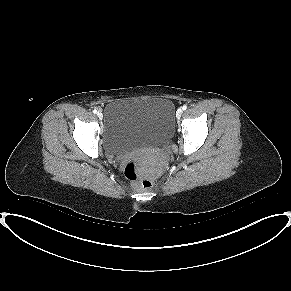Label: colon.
<instances>
[{"instance_id":"colon-1","label":"colon","mask_w":291,"mask_h":291,"mask_svg":"<svg viewBox=\"0 0 291 291\" xmlns=\"http://www.w3.org/2000/svg\"><path fill=\"white\" fill-rule=\"evenodd\" d=\"M126 177L131 181L132 186L141 190H148L152 187V179L139 172L137 160L130 158L124 168Z\"/></svg>"}]
</instances>
